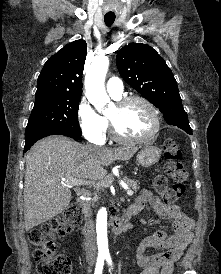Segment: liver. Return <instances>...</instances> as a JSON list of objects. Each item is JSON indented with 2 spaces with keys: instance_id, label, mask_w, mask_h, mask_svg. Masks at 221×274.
<instances>
[{
  "instance_id": "liver-1",
  "label": "liver",
  "mask_w": 221,
  "mask_h": 274,
  "mask_svg": "<svg viewBox=\"0 0 221 274\" xmlns=\"http://www.w3.org/2000/svg\"><path fill=\"white\" fill-rule=\"evenodd\" d=\"M136 148L108 149L50 136L32 146L26 157L24 224L28 231L59 215L69 205L71 191L63 179L83 181L105 177V166L129 160Z\"/></svg>"
}]
</instances>
